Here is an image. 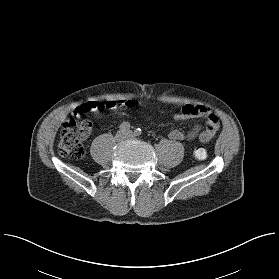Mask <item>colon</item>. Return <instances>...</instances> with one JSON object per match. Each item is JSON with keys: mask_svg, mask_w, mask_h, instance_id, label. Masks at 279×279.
<instances>
[{"mask_svg": "<svg viewBox=\"0 0 279 279\" xmlns=\"http://www.w3.org/2000/svg\"><path fill=\"white\" fill-rule=\"evenodd\" d=\"M129 105L136 106L137 102L130 100ZM92 127L90 120L70 119L65 122L60 130V141L58 151L62 156H68L72 159H80L85 154L83 140ZM218 128L216 129V131ZM206 141V138L203 140ZM194 156L198 159L206 157V149L204 146H198L194 149Z\"/></svg>", "mask_w": 279, "mask_h": 279, "instance_id": "colon-1", "label": "colon"}]
</instances>
